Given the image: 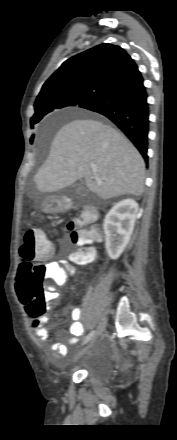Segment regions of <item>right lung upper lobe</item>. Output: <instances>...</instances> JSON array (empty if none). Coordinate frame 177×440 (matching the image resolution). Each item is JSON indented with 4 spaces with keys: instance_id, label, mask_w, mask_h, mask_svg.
Returning a JSON list of instances; mask_svg holds the SVG:
<instances>
[{
    "instance_id": "obj_1",
    "label": "right lung upper lobe",
    "mask_w": 177,
    "mask_h": 440,
    "mask_svg": "<svg viewBox=\"0 0 177 440\" xmlns=\"http://www.w3.org/2000/svg\"><path fill=\"white\" fill-rule=\"evenodd\" d=\"M139 74L124 49L103 43L65 61L44 83L35 106L65 92L104 96Z\"/></svg>"
}]
</instances>
